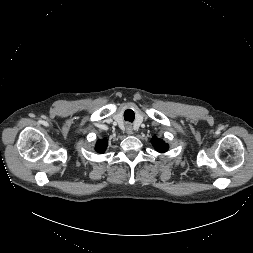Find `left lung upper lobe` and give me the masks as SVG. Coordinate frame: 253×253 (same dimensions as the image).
Segmentation results:
<instances>
[{"label":"left lung upper lobe","instance_id":"left-lung-upper-lobe-1","mask_svg":"<svg viewBox=\"0 0 253 253\" xmlns=\"http://www.w3.org/2000/svg\"><path fill=\"white\" fill-rule=\"evenodd\" d=\"M153 145L155 147V149L158 151V152H165L167 151L168 149V144H166L165 142H163L162 140L154 137L153 138Z\"/></svg>","mask_w":253,"mask_h":253}]
</instances>
